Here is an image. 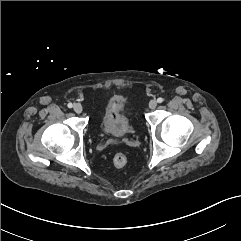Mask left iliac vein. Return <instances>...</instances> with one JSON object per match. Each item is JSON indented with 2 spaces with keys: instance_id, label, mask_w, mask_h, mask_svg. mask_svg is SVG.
<instances>
[{
  "instance_id": "obj_1",
  "label": "left iliac vein",
  "mask_w": 241,
  "mask_h": 241,
  "mask_svg": "<svg viewBox=\"0 0 241 241\" xmlns=\"http://www.w3.org/2000/svg\"><path fill=\"white\" fill-rule=\"evenodd\" d=\"M156 106H157V101H156V100H151V101L149 102V108H150V109H155Z\"/></svg>"
}]
</instances>
